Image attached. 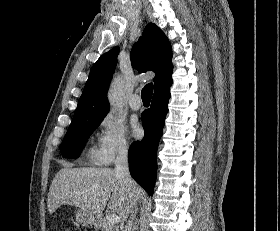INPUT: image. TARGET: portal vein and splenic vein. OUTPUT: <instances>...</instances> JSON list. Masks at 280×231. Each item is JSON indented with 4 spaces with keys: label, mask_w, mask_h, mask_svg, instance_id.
Wrapping results in <instances>:
<instances>
[{
    "label": "portal vein and splenic vein",
    "mask_w": 280,
    "mask_h": 231,
    "mask_svg": "<svg viewBox=\"0 0 280 231\" xmlns=\"http://www.w3.org/2000/svg\"><path fill=\"white\" fill-rule=\"evenodd\" d=\"M107 219L110 223H118V221H120V217L117 213H109V215H107Z\"/></svg>",
    "instance_id": "obj_1"
}]
</instances>
